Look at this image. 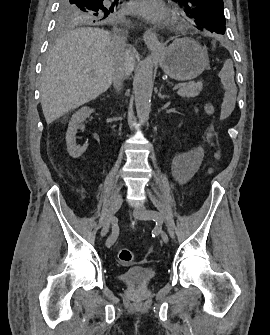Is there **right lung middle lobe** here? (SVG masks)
I'll return each instance as SVG.
<instances>
[{"instance_id": "right-lung-middle-lobe-1", "label": "right lung middle lobe", "mask_w": 270, "mask_h": 335, "mask_svg": "<svg viewBox=\"0 0 270 335\" xmlns=\"http://www.w3.org/2000/svg\"><path fill=\"white\" fill-rule=\"evenodd\" d=\"M121 4V1L114 0L111 6L106 7L103 0H60L57 27L62 31L87 24H110L116 20V11Z\"/></svg>"}]
</instances>
